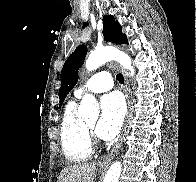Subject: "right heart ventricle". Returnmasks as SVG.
I'll use <instances>...</instances> for the list:
<instances>
[{
    "instance_id": "right-heart-ventricle-1",
    "label": "right heart ventricle",
    "mask_w": 196,
    "mask_h": 182,
    "mask_svg": "<svg viewBox=\"0 0 196 182\" xmlns=\"http://www.w3.org/2000/svg\"><path fill=\"white\" fill-rule=\"evenodd\" d=\"M60 140L64 155L70 162L80 163L92 153V145L86 124L76 113V102L65 108L60 124Z\"/></svg>"
}]
</instances>
